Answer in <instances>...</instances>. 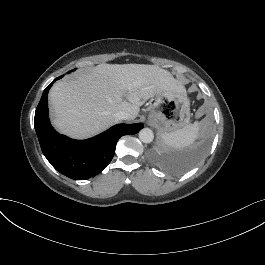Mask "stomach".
I'll return each instance as SVG.
<instances>
[{
  "instance_id": "obj_1",
  "label": "stomach",
  "mask_w": 265,
  "mask_h": 265,
  "mask_svg": "<svg viewBox=\"0 0 265 265\" xmlns=\"http://www.w3.org/2000/svg\"><path fill=\"white\" fill-rule=\"evenodd\" d=\"M149 121L161 132L176 131L190 121V103L186 94L160 93L149 113Z\"/></svg>"
}]
</instances>
